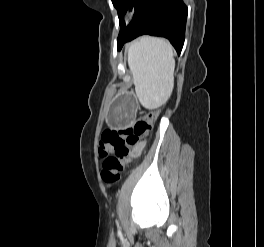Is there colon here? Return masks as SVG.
<instances>
[{"label": "colon", "mask_w": 264, "mask_h": 247, "mask_svg": "<svg viewBox=\"0 0 264 247\" xmlns=\"http://www.w3.org/2000/svg\"><path fill=\"white\" fill-rule=\"evenodd\" d=\"M156 118L157 111L151 110L127 126L102 133L98 152L103 159L101 179L107 187L119 181L131 149L150 133Z\"/></svg>", "instance_id": "obj_1"}]
</instances>
